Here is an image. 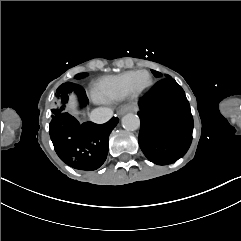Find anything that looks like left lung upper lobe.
Wrapping results in <instances>:
<instances>
[{
    "label": "left lung upper lobe",
    "mask_w": 241,
    "mask_h": 241,
    "mask_svg": "<svg viewBox=\"0 0 241 241\" xmlns=\"http://www.w3.org/2000/svg\"><path fill=\"white\" fill-rule=\"evenodd\" d=\"M152 73H153L154 76H156V77H160V76H161V73H159V72L152 71ZM167 77H169V76H167Z\"/></svg>",
    "instance_id": "5c2ea615"
}]
</instances>
